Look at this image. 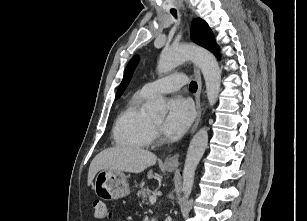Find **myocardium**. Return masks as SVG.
<instances>
[{"label": "myocardium", "instance_id": "f54148a6", "mask_svg": "<svg viewBox=\"0 0 307 221\" xmlns=\"http://www.w3.org/2000/svg\"><path fill=\"white\" fill-rule=\"evenodd\" d=\"M152 130H153L152 141H155L157 143L162 142L160 125L157 124L153 119H152Z\"/></svg>", "mask_w": 307, "mask_h": 221}]
</instances>
